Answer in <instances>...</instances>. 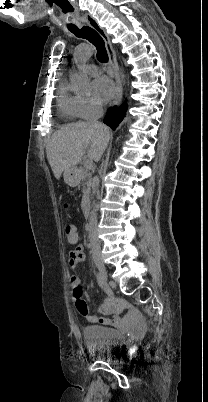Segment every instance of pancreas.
Returning a JSON list of instances; mask_svg holds the SVG:
<instances>
[{
    "instance_id": "1",
    "label": "pancreas",
    "mask_w": 208,
    "mask_h": 402,
    "mask_svg": "<svg viewBox=\"0 0 208 402\" xmlns=\"http://www.w3.org/2000/svg\"><path fill=\"white\" fill-rule=\"evenodd\" d=\"M80 178H82L81 180V184L83 186V194L84 196H90L91 194V172H89V170H81L80 174H79Z\"/></svg>"
}]
</instances>
